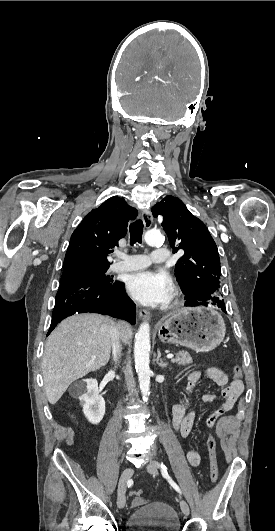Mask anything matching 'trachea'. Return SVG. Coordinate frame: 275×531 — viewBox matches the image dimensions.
Listing matches in <instances>:
<instances>
[{
  "label": "trachea",
  "instance_id": "1",
  "mask_svg": "<svg viewBox=\"0 0 275 531\" xmlns=\"http://www.w3.org/2000/svg\"><path fill=\"white\" fill-rule=\"evenodd\" d=\"M143 234V222L142 220H137L130 225V244L142 242Z\"/></svg>",
  "mask_w": 275,
  "mask_h": 531
}]
</instances>
